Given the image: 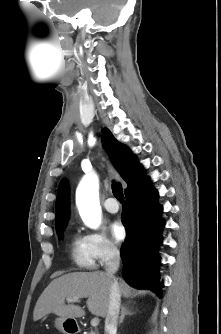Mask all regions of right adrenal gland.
<instances>
[{
    "instance_id": "right-adrenal-gland-1",
    "label": "right adrenal gland",
    "mask_w": 221,
    "mask_h": 334,
    "mask_svg": "<svg viewBox=\"0 0 221 334\" xmlns=\"http://www.w3.org/2000/svg\"><path fill=\"white\" fill-rule=\"evenodd\" d=\"M133 314H135L134 311L130 310L129 307L123 305L122 308H121V315H120V318H119V325L123 322L126 315L131 316Z\"/></svg>"
}]
</instances>
